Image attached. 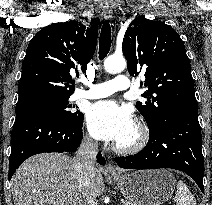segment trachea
I'll use <instances>...</instances> for the list:
<instances>
[{
    "label": "trachea",
    "instance_id": "trachea-1",
    "mask_svg": "<svg viewBox=\"0 0 212 205\" xmlns=\"http://www.w3.org/2000/svg\"><path fill=\"white\" fill-rule=\"evenodd\" d=\"M111 48V27L108 22H104L99 38V59L102 60L109 53Z\"/></svg>",
    "mask_w": 212,
    "mask_h": 205
}]
</instances>
